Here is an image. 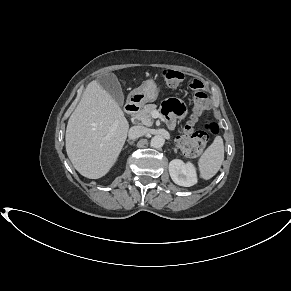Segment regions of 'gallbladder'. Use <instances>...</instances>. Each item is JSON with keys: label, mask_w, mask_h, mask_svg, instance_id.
Returning a JSON list of instances; mask_svg holds the SVG:
<instances>
[{"label": "gallbladder", "mask_w": 291, "mask_h": 291, "mask_svg": "<svg viewBox=\"0 0 291 291\" xmlns=\"http://www.w3.org/2000/svg\"><path fill=\"white\" fill-rule=\"evenodd\" d=\"M99 85L106 90L118 105L124 104V95L117 77L113 73H107L98 78Z\"/></svg>", "instance_id": "gallbladder-1"}]
</instances>
